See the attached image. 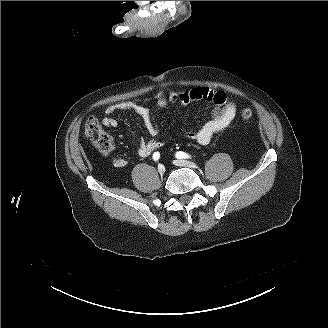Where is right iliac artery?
Listing matches in <instances>:
<instances>
[{
    "mask_svg": "<svg viewBox=\"0 0 328 328\" xmlns=\"http://www.w3.org/2000/svg\"><path fill=\"white\" fill-rule=\"evenodd\" d=\"M159 158H160V154H159V152H155V153L153 154V159H154L155 161H157Z\"/></svg>",
    "mask_w": 328,
    "mask_h": 328,
    "instance_id": "1",
    "label": "right iliac artery"
}]
</instances>
